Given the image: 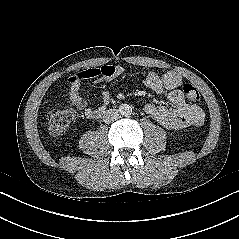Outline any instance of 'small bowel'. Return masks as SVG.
I'll return each mask as SVG.
<instances>
[{"instance_id":"c3829d8e","label":"small bowel","mask_w":239,"mask_h":239,"mask_svg":"<svg viewBox=\"0 0 239 239\" xmlns=\"http://www.w3.org/2000/svg\"><path fill=\"white\" fill-rule=\"evenodd\" d=\"M124 74V68L120 65H104L97 69L81 70L69 78V100L73 106L83 110L88 118L94 117L98 112L105 110L110 94L106 90L101 91L102 103L96 109L88 107L81 93V85L85 80H94L96 83L113 81ZM145 85L157 93L167 95L171 107L147 103L144 111L153 117L159 124L170 130H181L200 126L204 121L202 108L186 102L180 89L182 78L179 74L168 72L160 75L148 70L145 77Z\"/></svg>"}]
</instances>
